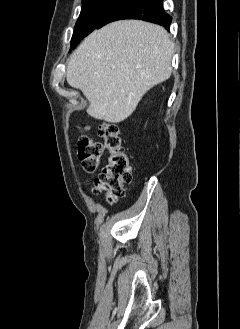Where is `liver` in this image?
I'll return each mask as SVG.
<instances>
[{"label":"liver","mask_w":240,"mask_h":329,"mask_svg":"<svg viewBox=\"0 0 240 329\" xmlns=\"http://www.w3.org/2000/svg\"><path fill=\"white\" fill-rule=\"evenodd\" d=\"M174 43L159 25L117 21L93 31L71 55L68 84L80 89L91 117L120 123L171 73Z\"/></svg>","instance_id":"6515ba94"}]
</instances>
